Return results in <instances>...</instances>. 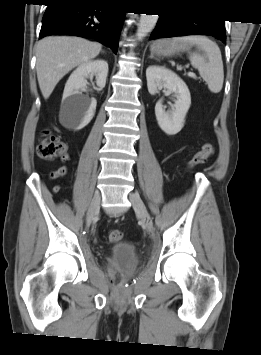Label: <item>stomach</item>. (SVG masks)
<instances>
[{"mask_svg": "<svg viewBox=\"0 0 261 355\" xmlns=\"http://www.w3.org/2000/svg\"><path fill=\"white\" fill-rule=\"evenodd\" d=\"M191 44L184 41H173L170 39H160L151 45L150 49L152 54L159 57H170L176 53L190 49Z\"/></svg>", "mask_w": 261, "mask_h": 355, "instance_id": "1", "label": "stomach"}]
</instances>
